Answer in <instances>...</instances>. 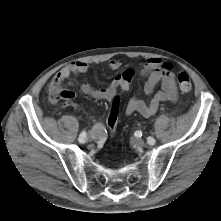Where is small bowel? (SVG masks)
<instances>
[{
	"mask_svg": "<svg viewBox=\"0 0 221 221\" xmlns=\"http://www.w3.org/2000/svg\"><path fill=\"white\" fill-rule=\"evenodd\" d=\"M89 64L84 61L73 62L62 68L54 77L53 81H68L72 75H79L88 72ZM121 67L118 60H111L108 69L116 71ZM141 73L145 76L144 93L151 98L147 101L139 97H131L126 105V113H138L144 117L153 116L161 103H175L178 100V88L170 63L159 58H148L142 63ZM133 79V70L128 69L118 74L115 79L106 87L94 88L87 82L80 84V90L85 95L96 100H110L118 90L127 91ZM160 85V89L155 92V88ZM98 136H102L103 129L96 126L94 129Z\"/></svg>",
	"mask_w": 221,
	"mask_h": 221,
	"instance_id": "1",
	"label": "small bowel"
}]
</instances>
